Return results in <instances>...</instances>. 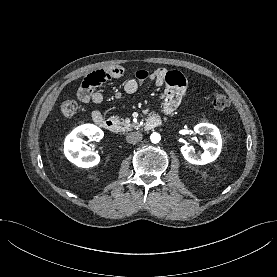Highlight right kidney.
Instances as JSON below:
<instances>
[{
	"label": "right kidney",
	"mask_w": 277,
	"mask_h": 277,
	"mask_svg": "<svg viewBox=\"0 0 277 277\" xmlns=\"http://www.w3.org/2000/svg\"><path fill=\"white\" fill-rule=\"evenodd\" d=\"M83 136L92 137L95 141H100L104 133L99 127L93 124L78 126L65 138L64 154L76 166L90 168L100 162V156L97 153L87 150V146L82 143Z\"/></svg>",
	"instance_id": "obj_1"
}]
</instances>
